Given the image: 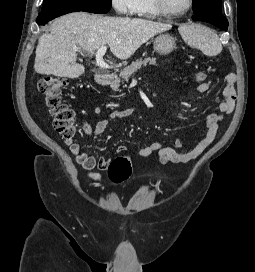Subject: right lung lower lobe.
I'll return each mask as SVG.
<instances>
[{"label":"right lung lower lobe","instance_id":"right-lung-lower-lobe-1","mask_svg":"<svg viewBox=\"0 0 255 272\" xmlns=\"http://www.w3.org/2000/svg\"><path fill=\"white\" fill-rule=\"evenodd\" d=\"M77 11L79 10L44 9L39 13L36 22L38 23V25H45L47 22H49L52 19H55L56 17Z\"/></svg>","mask_w":255,"mask_h":272}]
</instances>
